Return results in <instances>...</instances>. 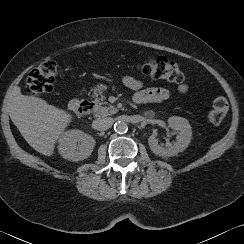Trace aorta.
<instances>
[{
	"instance_id": "1",
	"label": "aorta",
	"mask_w": 244,
	"mask_h": 244,
	"mask_svg": "<svg viewBox=\"0 0 244 244\" xmlns=\"http://www.w3.org/2000/svg\"><path fill=\"white\" fill-rule=\"evenodd\" d=\"M114 130L117 133H125L128 130V126L123 121H118L114 124Z\"/></svg>"
}]
</instances>
